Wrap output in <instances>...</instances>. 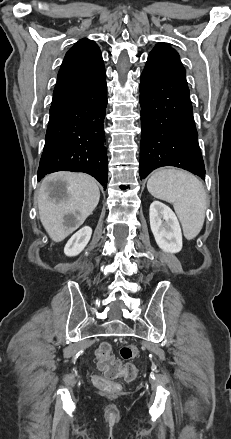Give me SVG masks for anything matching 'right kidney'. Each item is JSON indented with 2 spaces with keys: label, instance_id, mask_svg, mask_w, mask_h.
<instances>
[{
  "label": "right kidney",
  "instance_id": "ca27d5eb",
  "mask_svg": "<svg viewBox=\"0 0 231 439\" xmlns=\"http://www.w3.org/2000/svg\"><path fill=\"white\" fill-rule=\"evenodd\" d=\"M91 234L92 229L89 226H85L76 232L65 245V255L71 257L80 254L88 244Z\"/></svg>",
  "mask_w": 231,
  "mask_h": 439
}]
</instances>
